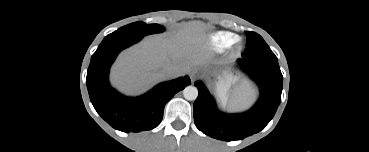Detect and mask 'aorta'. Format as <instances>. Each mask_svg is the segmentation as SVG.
Masks as SVG:
<instances>
[{
	"instance_id": "aorta-1",
	"label": "aorta",
	"mask_w": 369,
	"mask_h": 152,
	"mask_svg": "<svg viewBox=\"0 0 369 152\" xmlns=\"http://www.w3.org/2000/svg\"><path fill=\"white\" fill-rule=\"evenodd\" d=\"M183 96L186 100L193 101L198 97V89L194 86H187L183 90Z\"/></svg>"
}]
</instances>
